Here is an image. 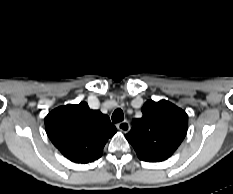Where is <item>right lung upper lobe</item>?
Instances as JSON below:
<instances>
[{
  "label": "right lung upper lobe",
  "instance_id": "cb5924a9",
  "mask_svg": "<svg viewBox=\"0 0 233 194\" xmlns=\"http://www.w3.org/2000/svg\"><path fill=\"white\" fill-rule=\"evenodd\" d=\"M45 129L55 147L74 163H89L102 156L103 147L116 133L107 115L91 110L86 102L52 110Z\"/></svg>",
  "mask_w": 233,
  "mask_h": 194
}]
</instances>
